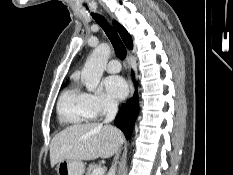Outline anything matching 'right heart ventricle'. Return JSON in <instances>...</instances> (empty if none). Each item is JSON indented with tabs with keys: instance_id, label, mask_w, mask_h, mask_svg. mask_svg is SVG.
I'll return each mask as SVG.
<instances>
[{
	"instance_id": "obj_1",
	"label": "right heart ventricle",
	"mask_w": 233,
	"mask_h": 175,
	"mask_svg": "<svg viewBox=\"0 0 233 175\" xmlns=\"http://www.w3.org/2000/svg\"><path fill=\"white\" fill-rule=\"evenodd\" d=\"M57 115L62 124L79 126L95 117L88 93L75 83L64 89L57 103Z\"/></svg>"
}]
</instances>
